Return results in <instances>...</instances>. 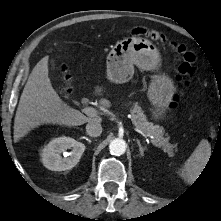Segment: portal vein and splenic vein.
Segmentation results:
<instances>
[{
    "label": "portal vein and splenic vein",
    "mask_w": 221,
    "mask_h": 221,
    "mask_svg": "<svg viewBox=\"0 0 221 221\" xmlns=\"http://www.w3.org/2000/svg\"><path fill=\"white\" fill-rule=\"evenodd\" d=\"M83 111H84V113H85L86 115H88V116H90V117H96V116H97V110H96L95 108H93V107H85V108L83 109ZM143 135L146 136V137H151V138H152L151 135H147V134H145V133H143ZM151 142H152L153 145L158 146V144H157V142H156L155 139L152 138V139H151Z\"/></svg>",
    "instance_id": "18ae733b"
}]
</instances>
